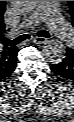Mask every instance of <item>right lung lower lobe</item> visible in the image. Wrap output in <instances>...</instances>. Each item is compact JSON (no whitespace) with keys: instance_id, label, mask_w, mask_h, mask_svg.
Segmentation results:
<instances>
[{"instance_id":"98d812e1","label":"right lung lower lobe","mask_w":74,"mask_h":122,"mask_svg":"<svg viewBox=\"0 0 74 122\" xmlns=\"http://www.w3.org/2000/svg\"><path fill=\"white\" fill-rule=\"evenodd\" d=\"M16 61H17V58H16ZM16 61L14 62L13 66L10 68L9 71L5 72L3 75H0V81L1 79L8 77L14 71L15 66H16Z\"/></svg>"}]
</instances>
